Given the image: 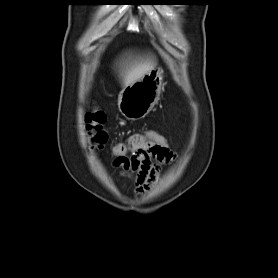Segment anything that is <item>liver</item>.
<instances>
[{"mask_svg":"<svg viewBox=\"0 0 278 278\" xmlns=\"http://www.w3.org/2000/svg\"><path fill=\"white\" fill-rule=\"evenodd\" d=\"M156 67V61L151 56L132 57L129 56L120 63V76L123 86H127Z\"/></svg>","mask_w":278,"mask_h":278,"instance_id":"1","label":"liver"}]
</instances>
